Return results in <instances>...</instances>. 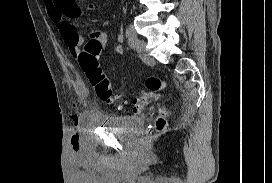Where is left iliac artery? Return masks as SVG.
<instances>
[{"mask_svg": "<svg viewBox=\"0 0 272 183\" xmlns=\"http://www.w3.org/2000/svg\"><path fill=\"white\" fill-rule=\"evenodd\" d=\"M127 37H128L129 46L131 48H135V44H136V41H137V33H136L135 28L133 27V25L129 26Z\"/></svg>", "mask_w": 272, "mask_h": 183, "instance_id": "44dca946", "label": "left iliac artery"}]
</instances>
